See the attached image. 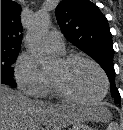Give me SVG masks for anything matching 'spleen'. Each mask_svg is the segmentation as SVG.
I'll use <instances>...</instances> for the list:
<instances>
[{
  "mask_svg": "<svg viewBox=\"0 0 123 130\" xmlns=\"http://www.w3.org/2000/svg\"><path fill=\"white\" fill-rule=\"evenodd\" d=\"M107 130H119L118 124L115 122L110 123Z\"/></svg>",
  "mask_w": 123,
  "mask_h": 130,
  "instance_id": "3e777b00",
  "label": "spleen"
}]
</instances>
